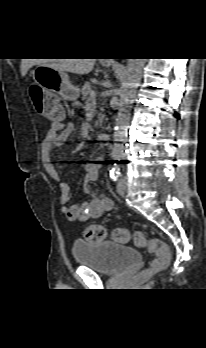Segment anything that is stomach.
<instances>
[{"label": "stomach", "instance_id": "stomach-1", "mask_svg": "<svg viewBox=\"0 0 206 348\" xmlns=\"http://www.w3.org/2000/svg\"><path fill=\"white\" fill-rule=\"evenodd\" d=\"M32 76L34 86L41 90V103L34 104L36 111L41 115H50V105L55 101L53 98L60 96L66 100H76L79 97L78 87L69 81L66 72L39 65L32 71Z\"/></svg>", "mask_w": 206, "mask_h": 348}]
</instances>
